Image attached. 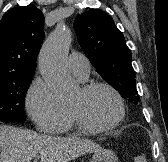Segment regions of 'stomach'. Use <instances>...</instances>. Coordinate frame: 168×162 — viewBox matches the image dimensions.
<instances>
[{
    "label": "stomach",
    "mask_w": 168,
    "mask_h": 162,
    "mask_svg": "<svg viewBox=\"0 0 168 162\" xmlns=\"http://www.w3.org/2000/svg\"><path fill=\"white\" fill-rule=\"evenodd\" d=\"M91 162H118V158L111 150L101 149L94 152Z\"/></svg>",
    "instance_id": "obj_1"
}]
</instances>
